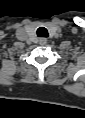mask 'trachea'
I'll return each mask as SVG.
<instances>
[{
  "instance_id": "3493384b",
  "label": "trachea",
  "mask_w": 85,
  "mask_h": 118,
  "mask_svg": "<svg viewBox=\"0 0 85 118\" xmlns=\"http://www.w3.org/2000/svg\"><path fill=\"white\" fill-rule=\"evenodd\" d=\"M36 34L38 37H48V30L45 27H39Z\"/></svg>"
}]
</instances>
